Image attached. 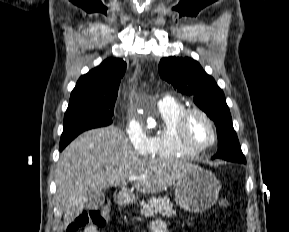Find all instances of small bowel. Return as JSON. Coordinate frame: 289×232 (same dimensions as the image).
Returning <instances> with one entry per match:
<instances>
[{"instance_id":"c3829d8e","label":"small bowel","mask_w":289,"mask_h":232,"mask_svg":"<svg viewBox=\"0 0 289 232\" xmlns=\"http://www.w3.org/2000/svg\"><path fill=\"white\" fill-rule=\"evenodd\" d=\"M149 229L151 232H170L166 223L160 220H156L150 223ZM83 232H100L99 228L96 226H88Z\"/></svg>"}]
</instances>
